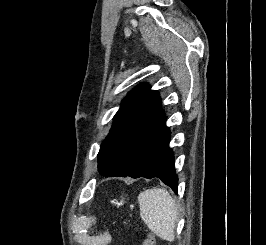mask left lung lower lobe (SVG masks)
<instances>
[{"mask_svg": "<svg viewBox=\"0 0 266 245\" xmlns=\"http://www.w3.org/2000/svg\"><path fill=\"white\" fill-rule=\"evenodd\" d=\"M166 116L141 140L131 167L124 175L131 178H160L177 193L178 178L174 170V156L168 144L170 131Z\"/></svg>", "mask_w": 266, "mask_h": 245, "instance_id": "1", "label": "left lung lower lobe"}]
</instances>
